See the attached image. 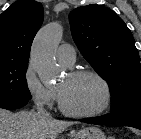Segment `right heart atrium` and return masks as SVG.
<instances>
[{"label":"right heart atrium","instance_id":"right-heart-atrium-1","mask_svg":"<svg viewBox=\"0 0 141 139\" xmlns=\"http://www.w3.org/2000/svg\"><path fill=\"white\" fill-rule=\"evenodd\" d=\"M23 83L31 100L38 107L51 108L56 100V91L45 86L39 79L32 63H28L23 72Z\"/></svg>","mask_w":141,"mask_h":139}]
</instances>
